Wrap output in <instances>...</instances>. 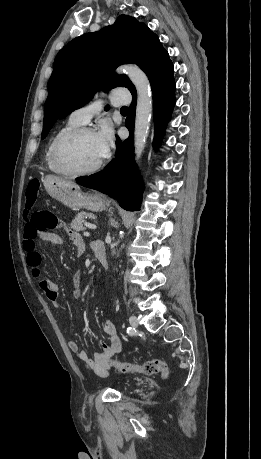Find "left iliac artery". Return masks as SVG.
<instances>
[{"instance_id":"1","label":"left iliac artery","mask_w":261,"mask_h":459,"mask_svg":"<svg viewBox=\"0 0 261 459\" xmlns=\"http://www.w3.org/2000/svg\"><path fill=\"white\" fill-rule=\"evenodd\" d=\"M127 333H128L129 335H134L135 329L129 327V328H127Z\"/></svg>"}]
</instances>
